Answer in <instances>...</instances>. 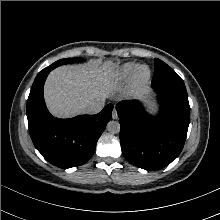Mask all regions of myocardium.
<instances>
[{
    "mask_svg": "<svg viewBox=\"0 0 220 220\" xmlns=\"http://www.w3.org/2000/svg\"><path fill=\"white\" fill-rule=\"evenodd\" d=\"M150 69L145 66H139L134 72L133 81L136 87L144 86L150 79Z\"/></svg>",
    "mask_w": 220,
    "mask_h": 220,
    "instance_id": "f54148a6",
    "label": "myocardium"
}]
</instances>
